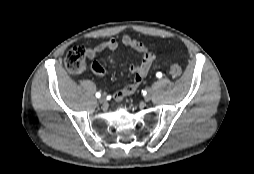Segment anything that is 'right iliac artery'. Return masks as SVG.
Returning <instances> with one entry per match:
<instances>
[{
  "label": "right iliac artery",
  "instance_id": "obj_1",
  "mask_svg": "<svg viewBox=\"0 0 254 174\" xmlns=\"http://www.w3.org/2000/svg\"><path fill=\"white\" fill-rule=\"evenodd\" d=\"M101 94L99 92L96 93V97L100 98Z\"/></svg>",
  "mask_w": 254,
  "mask_h": 174
}]
</instances>
